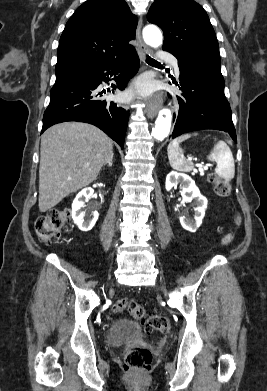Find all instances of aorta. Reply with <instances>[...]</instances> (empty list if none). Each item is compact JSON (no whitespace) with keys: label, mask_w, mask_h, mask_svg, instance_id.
<instances>
[{"label":"aorta","mask_w":267,"mask_h":391,"mask_svg":"<svg viewBox=\"0 0 267 391\" xmlns=\"http://www.w3.org/2000/svg\"><path fill=\"white\" fill-rule=\"evenodd\" d=\"M143 39L149 46L158 48L162 45L163 37L156 26L149 25L143 30ZM171 121V112L167 109L161 110L152 129V136L157 140L165 139L170 132Z\"/></svg>","instance_id":"1"}]
</instances>
